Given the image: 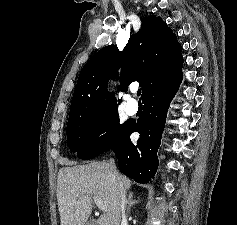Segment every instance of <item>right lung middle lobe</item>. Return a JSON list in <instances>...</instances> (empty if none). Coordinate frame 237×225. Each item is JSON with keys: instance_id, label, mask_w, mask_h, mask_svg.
<instances>
[{"instance_id": "right-lung-middle-lobe-1", "label": "right lung middle lobe", "mask_w": 237, "mask_h": 225, "mask_svg": "<svg viewBox=\"0 0 237 225\" xmlns=\"http://www.w3.org/2000/svg\"><path fill=\"white\" fill-rule=\"evenodd\" d=\"M129 122L119 123L117 108L90 117L69 114L67 142L80 159H91L110 150Z\"/></svg>"}]
</instances>
